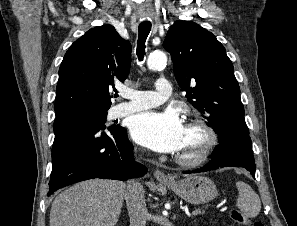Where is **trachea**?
Here are the masks:
<instances>
[{"instance_id":"1","label":"trachea","mask_w":297,"mask_h":226,"mask_svg":"<svg viewBox=\"0 0 297 226\" xmlns=\"http://www.w3.org/2000/svg\"><path fill=\"white\" fill-rule=\"evenodd\" d=\"M139 37L137 41V49L136 53L138 56L139 61H142L145 54V42L146 39L151 31V23L149 21H144L139 24ZM118 95H116L117 97Z\"/></svg>"}]
</instances>
